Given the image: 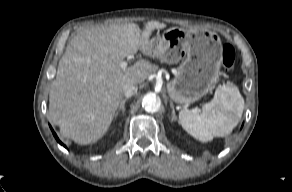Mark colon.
Instances as JSON below:
<instances>
[{
	"instance_id": "1",
	"label": "colon",
	"mask_w": 292,
	"mask_h": 192,
	"mask_svg": "<svg viewBox=\"0 0 292 192\" xmlns=\"http://www.w3.org/2000/svg\"><path fill=\"white\" fill-rule=\"evenodd\" d=\"M222 64L226 70H231L235 62V51L232 46L224 45L222 48Z\"/></svg>"
}]
</instances>
